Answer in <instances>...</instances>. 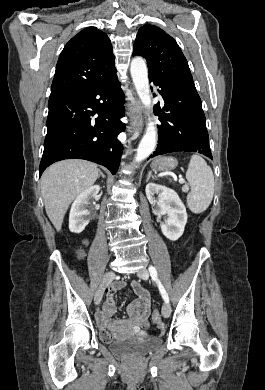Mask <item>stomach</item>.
Listing matches in <instances>:
<instances>
[{
    "mask_svg": "<svg viewBox=\"0 0 265 390\" xmlns=\"http://www.w3.org/2000/svg\"><path fill=\"white\" fill-rule=\"evenodd\" d=\"M178 162L173 157H158L152 164L151 168L154 171H170L177 166Z\"/></svg>",
    "mask_w": 265,
    "mask_h": 390,
    "instance_id": "1",
    "label": "stomach"
}]
</instances>
